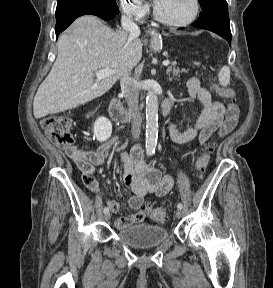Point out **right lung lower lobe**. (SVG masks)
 I'll use <instances>...</instances> for the list:
<instances>
[{
	"mask_svg": "<svg viewBox=\"0 0 273 288\" xmlns=\"http://www.w3.org/2000/svg\"><path fill=\"white\" fill-rule=\"evenodd\" d=\"M95 15L98 16L104 20H110L113 19L117 14H108V13H100L98 11L94 10H75V11H69L62 13L58 16H56V27H55V32H56V37L65 30L77 17L82 16V15Z\"/></svg>",
	"mask_w": 273,
	"mask_h": 288,
	"instance_id": "98d812e1",
	"label": "right lung lower lobe"
}]
</instances>
